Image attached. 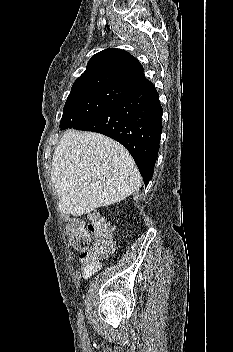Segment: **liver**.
Wrapping results in <instances>:
<instances>
[{"label":"liver","instance_id":"6515ba94","mask_svg":"<svg viewBox=\"0 0 233 352\" xmlns=\"http://www.w3.org/2000/svg\"><path fill=\"white\" fill-rule=\"evenodd\" d=\"M51 181L63 213L75 217L120 202L141 186L125 147L102 134L74 130L55 148Z\"/></svg>","mask_w":233,"mask_h":352}]
</instances>
